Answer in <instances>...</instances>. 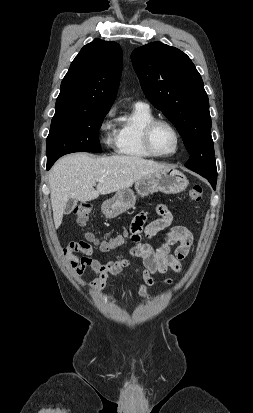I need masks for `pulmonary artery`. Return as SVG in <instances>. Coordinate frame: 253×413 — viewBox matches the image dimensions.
I'll list each match as a JSON object with an SVG mask.
<instances>
[{
    "mask_svg": "<svg viewBox=\"0 0 253 413\" xmlns=\"http://www.w3.org/2000/svg\"><path fill=\"white\" fill-rule=\"evenodd\" d=\"M135 105L149 108V104L147 102H144V101H138V102H136Z\"/></svg>",
    "mask_w": 253,
    "mask_h": 413,
    "instance_id": "e3ab8cb5",
    "label": "pulmonary artery"
}]
</instances>
